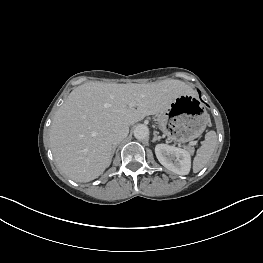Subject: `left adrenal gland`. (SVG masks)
<instances>
[{
	"instance_id": "1",
	"label": "left adrenal gland",
	"mask_w": 263,
	"mask_h": 263,
	"mask_svg": "<svg viewBox=\"0 0 263 263\" xmlns=\"http://www.w3.org/2000/svg\"><path fill=\"white\" fill-rule=\"evenodd\" d=\"M154 134V137H153V140L152 142H155V141H159L160 140V136H157L156 132L153 133Z\"/></svg>"
}]
</instances>
